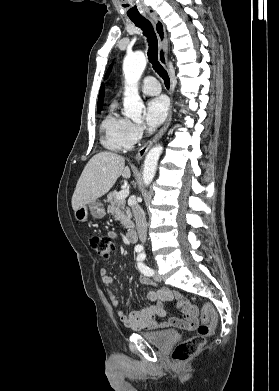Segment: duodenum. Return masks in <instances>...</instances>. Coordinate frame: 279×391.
Here are the masks:
<instances>
[{"mask_svg": "<svg viewBox=\"0 0 279 391\" xmlns=\"http://www.w3.org/2000/svg\"><path fill=\"white\" fill-rule=\"evenodd\" d=\"M139 239V234H138V231L137 229H131L128 233H127V240L130 242V243H136Z\"/></svg>", "mask_w": 279, "mask_h": 391, "instance_id": "duodenum-1", "label": "duodenum"}]
</instances>
